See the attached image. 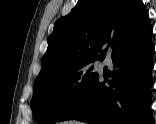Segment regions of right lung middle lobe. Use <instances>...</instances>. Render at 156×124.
I'll return each instance as SVG.
<instances>
[{
	"mask_svg": "<svg viewBox=\"0 0 156 124\" xmlns=\"http://www.w3.org/2000/svg\"><path fill=\"white\" fill-rule=\"evenodd\" d=\"M94 60L74 64L36 79L31 100L35 120L40 124L59 121L97 77L98 74L90 66Z\"/></svg>",
	"mask_w": 156,
	"mask_h": 124,
	"instance_id": "dd1d6c3e",
	"label": "right lung middle lobe"
}]
</instances>
